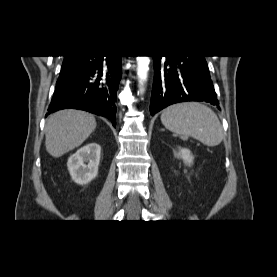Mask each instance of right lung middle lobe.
I'll use <instances>...</instances> for the list:
<instances>
[{
    "label": "right lung middle lobe",
    "instance_id": "obj_1",
    "mask_svg": "<svg viewBox=\"0 0 277 277\" xmlns=\"http://www.w3.org/2000/svg\"><path fill=\"white\" fill-rule=\"evenodd\" d=\"M70 57H65L63 63H65Z\"/></svg>",
    "mask_w": 277,
    "mask_h": 277
}]
</instances>
